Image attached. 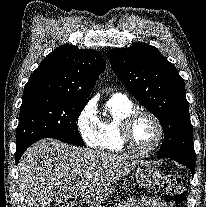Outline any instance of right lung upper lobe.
I'll return each instance as SVG.
<instances>
[{
  "label": "right lung upper lobe",
  "mask_w": 206,
  "mask_h": 207,
  "mask_svg": "<svg viewBox=\"0 0 206 207\" xmlns=\"http://www.w3.org/2000/svg\"><path fill=\"white\" fill-rule=\"evenodd\" d=\"M105 61L95 50L63 45L51 52L30 76L23 101L50 96L72 101H89Z\"/></svg>",
  "instance_id": "right-lung-upper-lobe-1"
}]
</instances>
